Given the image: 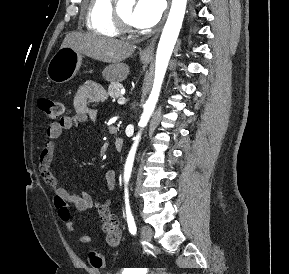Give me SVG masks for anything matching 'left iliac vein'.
I'll return each mask as SVG.
<instances>
[{"instance_id":"obj_1","label":"left iliac vein","mask_w":289,"mask_h":274,"mask_svg":"<svg viewBox=\"0 0 289 274\" xmlns=\"http://www.w3.org/2000/svg\"><path fill=\"white\" fill-rule=\"evenodd\" d=\"M141 238L143 242L148 245L152 241L153 231L148 226H141L140 228Z\"/></svg>"}]
</instances>
